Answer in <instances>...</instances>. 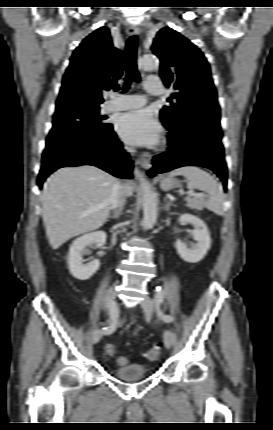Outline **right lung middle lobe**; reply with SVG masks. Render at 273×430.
Wrapping results in <instances>:
<instances>
[{
  "label": "right lung middle lobe",
  "mask_w": 273,
  "mask_h": 430,
  "mask_svg": "<svg viewBox=\"0 0 273 430\" xmlns=\"http://www.w3.org/2000/svg\"><path fill=\"white\" fill-rule=\"evenodd\" d=\"M100 107L81 100H72L56 106L46 148L55 147L76 140L87 139L105 134L112 125L105 123L99 115Z\"/></svg>",
  "instance_id": "dd1d6c3e"
}]
</instances>
